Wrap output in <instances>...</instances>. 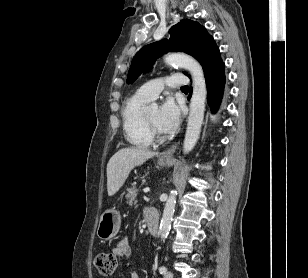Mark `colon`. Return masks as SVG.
<instances>
[{"mask_svg":"<svg viewBox=\"0 0 308 278\" xmlns=\"http://www.w3.org/2000/svg\"><path fill=\"white\" fill-rule=\"evenodd\" d=\"M94 263L100 274L110 276L115 272L118 260L112 252H100L95 256Z\"/></svg>","mask_w":308,"mask_h":278,"instance_id":"5ec220e1","label":"colon"}]
</instances>
